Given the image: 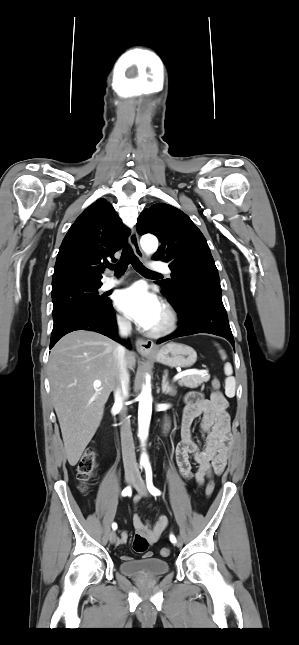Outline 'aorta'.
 Returning <instances> with one entry per match:
<instances>
[{
	"label": "aorta",
	"mask_w": 299,
	"mask_h": 645,
	"mask_svg": "<svg viewBox=\"0 0 299 645\" xmlns=\"http://www.w3.org/2000/svg\"><path fill=\"white\" fill-rule=\"evenodd\" d=\"M141 247L147 254H152L156 252L158 248V240L156 237L147 235L141 238ZM152 414V396L151 389L148 386H144L140 395H139V409H138V426H139V437L141 439L142 446L148 436L149 424ZM141 463H148V457L146 453H142Z\"/></svg>",
	"instance_id": "aorta-1"
}]
</instances>
